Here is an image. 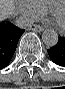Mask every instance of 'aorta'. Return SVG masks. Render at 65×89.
Instances as JSON below:
<instances>
[{"mask_svg": "<svg viewBox=\"0 0 65 89\" xmlns=\"http://www.w3.org/2000/svg\"><path fill=\"white\" fill-rule=\"evenodd\" d=\"M58 40V33L54 29H46L42 34V41L47 47L55 46Z\"/></svg>", "mask_w": 65, "mask_h": 89, "instance_id": "1", "label": "aorta"}]
</instances>
